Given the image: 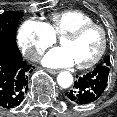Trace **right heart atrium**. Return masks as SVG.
Returning <instances> with one entry per match:
<instances>
[{"label":"right heart atrium","instance_id":"obj_1","mask_svg":"<svg viewBox=\"0 0 117 117\" xmlns=\"http://www.w3.org/2000/svg\"><path fill=\"white\" fill-rule=\"evenodd\" d=\"M17 40L25 57L38 61L42 53L55 43V36L46 23L27 19L19 27Z\"/></svg>","mask_w":117,"mask_h":117}]
</instances>
